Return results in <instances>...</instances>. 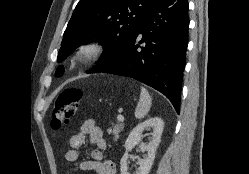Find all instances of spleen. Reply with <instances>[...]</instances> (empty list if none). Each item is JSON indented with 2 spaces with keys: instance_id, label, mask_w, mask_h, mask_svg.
I'll use <instances>...</instances> for the list:
<instances>
[{
  "instance_id": "3e777b00",
  "label": "spleen",
  "mask_w": 249,
  "mask_h": 174,
  "mask_svg": "<svg viewBox=\"0 0 249 174\" xmlns=\"http://www.w3.org/2000/svg\"><path fill=\"white\" fill-rule=\"evenodd\" d=\"M152 99L145 88H141L140 98L135 109V117L142 119L149 112L151 107Z\"/></svg>"
}]
</instances>
